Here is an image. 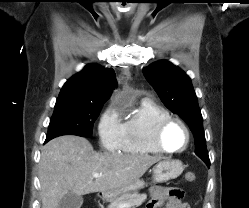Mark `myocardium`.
I'll list each match as a JSON object with an SVG mask.
<instances>
[{"mask_svg": "<svg viewBox=\"0 0 249 208\" xmlns=\"http://www.w3.org/2000/svg\"><path fill=\"white\" fill-rule=\"evenodd\" d=\"M172 123H178L179 125H181L186 133V142L184 146L180 149H169L163 143V133L166 130V128ZM152 141L154 146L162 153H170V154L181 153L184 152L190 144L191 132L188 125L182 119L174 116H169L158 122L153 132Z\"/></svg>", "mask_w": 249, "mask_h": 208, "instance_id": "f54148a6", "label": "myocardium"}]
</instances>
